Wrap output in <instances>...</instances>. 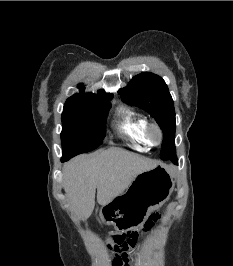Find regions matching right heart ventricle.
<instances>
[{"label":"right heart ventricle","mask_w":233,"mask_h":266,"mask_svg":"<svg viewBox=\"0 0 233 266\" xmlns=\"http://www.w3.org/2000/svg\"><path fill=\"white\" fill-rule=\"evenodd\" d=\"M122 117L119 124L120 131L139 149H146L150 144L145 131L148 125L146 118L127 108H122Z\"/></svg>","instance_id":"1"}]
</instances>
